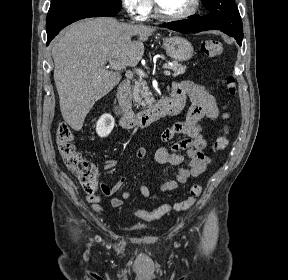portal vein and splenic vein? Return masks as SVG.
<instances>
[{
	"label": "portal vein and splenic vein",
	"instance_id": "obj_1",
	"mask_svg": "<svg viewBox=\"0 0 288 280\" xmlns=\"http://www.w3.org/2000/svg\"><path fill=\"white\" fill-rule=\"evenodd\" d=\"M109 63H110V65H111V67H112L113 69H115V70H120V69L123 68L122 64L119 63V62H117V61H114V60L109 59ZM164 68H165L164 74L167 75V76H169L171 73H170V71L168 70V67H167V66H164ZM136 72H137L140 76H145V73H144L142 70H140V69H136Z\"/></svg>",
	"mask_w": 288,
	"mask_h": 280
}]
</instances>
